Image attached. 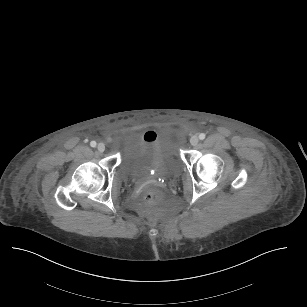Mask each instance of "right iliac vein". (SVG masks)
I'll return each instance as SVG.
<instances>
[{"mask_svg":"<svg viewBox=\"0 0 307 307\" xmlns=\"http://www.w3.org/2000/svg\"><path fill=\"white\" fill-rule=\"evenodd\" d=\"M97 150L99 151V152H104V150H105V144L104 143H99L98 145H97Z\"/></svg>","mask_w":307,"mask_h":307,"instance_id":"right-iliac-vein-1","label":"right iliac vein"}]
</instances>
